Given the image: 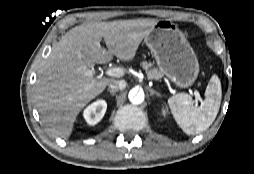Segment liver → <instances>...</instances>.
<instances>
[{"label": "liver", "mask_w": 254, "mask_h": 174, "mask_svg": "<svg viewBox=\"0 0 254 174\" xmlns=\"http://www.w3.org/2000/svg\"><path fill=\"white\" fill-rule=\"evenodd\" d=\"M158 21H94L76 26L62 36L40 67L35 86L36 107L52 134L68 138L80 111L115 80L96 75L94 65L105 64L113 56L132 60ZM102 38L108 50L101 46Z\"/></svg>", "instance_id": "obj_1"}]
</instances>
